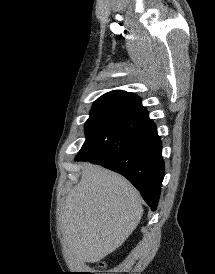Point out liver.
<instances>
[{
  "label": "liver",
  "instance_id": "1",
  "mask_svg": "<svg viewBox=\"0 0 215 274\" xmlns=\"http://www.w3.org/2000/svg\"><path fill=\"white\" fill-rule=\"evenodd\" d=\"M142 215L139 192L124 177L87 163L64 197L61 233L75 259L97 263L126 241Z\"/></svg>",
  "mask_w": 215,
  "mask_h": 274
}]
</instances>
